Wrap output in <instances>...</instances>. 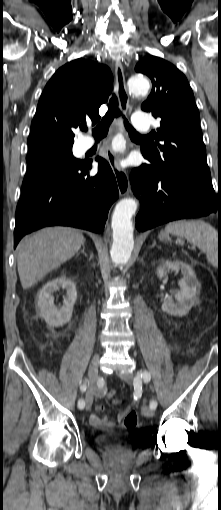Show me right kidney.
Segmentation results:
<instances>
[{
  "mask_svg": "<svg viewBox=\"0 0 221 510\" xmlns=\"http://www.w3.org/2000/svg\"><path fill=\"white\" fill-rule=\"evenodd\" d=\"M63 288L66 290V298L63 301V306L57 307L54 304V297L52 293ZM77 300L76 285L73 281L60 276L47 282L37 295V308L41 318L52 327L63 326L68 323L72 317L73 306Z\"/></svg>",
  "mask_w": 221,
  "mask_h": 510,
  "instance_id": "obj_1",
  "label": "right kidney"
}]
</instances>
